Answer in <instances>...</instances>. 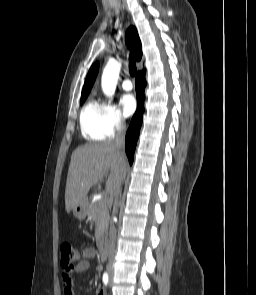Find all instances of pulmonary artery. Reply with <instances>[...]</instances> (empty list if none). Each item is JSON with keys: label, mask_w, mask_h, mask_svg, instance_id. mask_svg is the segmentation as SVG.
Listing matches in <instances>:
<instances>
[{"label": "pulmonary artery", "mask_w": 256, "mask_h": 295, "mask_svg": "<svg viewBox=\"0 0 256 295\" xmlns=\"http://www.w3.org/2000/svg\"><path fill=\"white\" fill-rule=\"evenodd\" d=\"M122 88L125 90V91H130L132 90L133 88V84L132 82L129 80V79H124L122 81Z\"/></svg>", "instance_id": "pulmonary-artery-1"}]
</instances>
